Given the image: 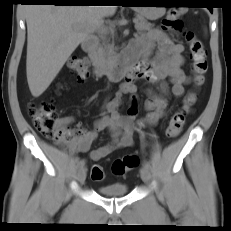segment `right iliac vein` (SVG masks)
<instances>
[{
  "label": "right iliac vein",
  "mask_w": 231,
  "mask_h": 231,
  "mask_svg": "<svg viewBox=\"0 0 231 231\" xmlns=\"http://www.w3.org/2000/svg\"><path fill=\"white\" fill-rule=\"evenodd\" d=\"M86 174H87L86 168H83V167L80 168L77 174V181L79 184H83L85 182Z\"/></svg>",
  "instance_id": "1"
}]
</instances>
